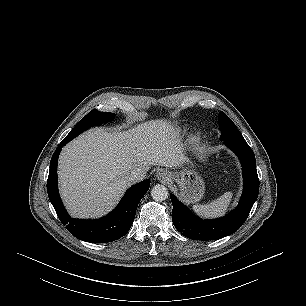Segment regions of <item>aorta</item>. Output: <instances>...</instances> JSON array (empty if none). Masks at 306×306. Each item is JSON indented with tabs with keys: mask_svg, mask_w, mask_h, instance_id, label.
<instances>
[{
	"mask_svg": "<svg viewBox=\"0 0 306 306\" xmlns=\"http://www.w3.org/2000/svg\"><path fill=\"white\" fill-rule=\"evenodd\" d=\"M151 196L155 201H164L168 198V189L164 185L157 184L152 188Z\"/></svg>",
	"mask_w": 306,
	"mask_h": 306,
	"instance_id": "1",
	"label": "aorta"
}]
</instances>
